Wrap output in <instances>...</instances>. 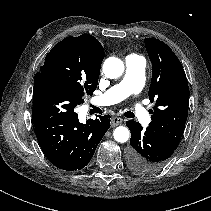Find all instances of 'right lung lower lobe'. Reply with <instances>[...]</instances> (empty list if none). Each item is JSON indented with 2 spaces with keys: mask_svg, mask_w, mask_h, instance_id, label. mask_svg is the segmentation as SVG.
I'll use <instances>...</instances> for the list:
<instances>
[{
  "mask_svg": "<svg viewBox=\"0 0 211 211\" xmlns=\"http://www.w3.org/2000/svg\"><path fill=\"white\" fill-rule=\"evenodd\" d=\"M81 103L82 97L69 87L35 76L32 121L37 140L47 159L67 171L84 168L110 128V115L80 123L74 109Z\"/></svg>",
  "mask_w": 211,
  "mask_h": 211,
  "instance_id": "obj_1",
  "label": "right lung lower lobe"
}]
</instances>
